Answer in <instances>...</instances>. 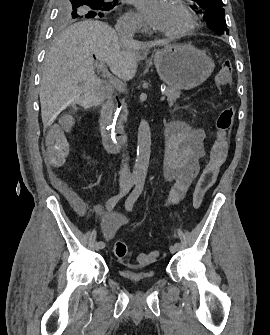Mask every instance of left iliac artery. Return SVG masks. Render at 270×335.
<instances>
[{
    "label": "left iliac artery",
    "instance_id": "left-iliac-artery-1",
    "mask_svg": "<svg viewBox=\"0 0 270 335\" xmlns=\"http://www.w3.org/2000/svg\"><path fill=\"white\" fill-rule=\"evenodd\" d=\"M143 187H144V180L139 179L136 182V186L134 188V190L132 191V193L128 196L126 202H125V207L128 211H132L133 205L136 202V200L138 199V197L140 196V194L143 191ZM174 246L177 249H180L182 246L179 242H176L174 244Z\"/></svg>",
    "mask_w": 270,
    "mask_h": 335
}]
</instances>
